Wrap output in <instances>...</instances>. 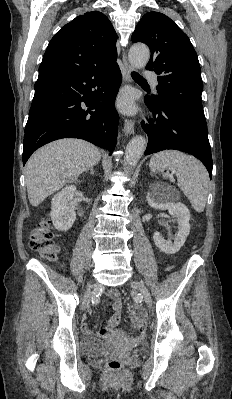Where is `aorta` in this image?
Returning <instances> with one entry per match:
<instances>
[{"label":"aorta","mask_w":232,"mask_h":399,"mask_svg":"<svg viewBox=\"0 0 232 399\" xmlns=\"http://www.w3.org/2000/svg\"><path fill=\"white\" fill-rule=\"evenodd\" d=\"M150 58L149 48L144 44L133 45L128 53L130 64L137 69L144 68ZM146 149V139L143 136H136L131 139L125 150V170H132L140 160Z\"/></svg>","instance_id":"1"}]
</instances>
